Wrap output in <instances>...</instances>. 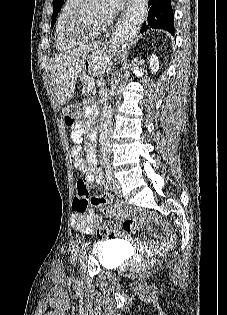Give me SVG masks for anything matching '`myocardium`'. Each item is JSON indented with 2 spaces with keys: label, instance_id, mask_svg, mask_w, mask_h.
<instances>
[{
  "label": "myocardium",
  "instance_id": "1",
  "mask_svg": "<svg viewBox=\"0 0 227 315\" xmlns=\"http://www.w3.org/2000/svg\"><path fill=\"white\" fill-rule=\"evenodd\" d=\"M89 0H81L68 17L64 26V35L69 42L81 43L84 39L92 38L106 28V23L93 25L88 22L87 7Z\"/></svg>",
  "mask_w": 227,
  "mask_h": 315
}]
</instances>
